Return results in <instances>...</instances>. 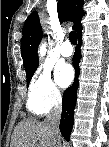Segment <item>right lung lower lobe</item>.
I'll return each instance as SVG.
<instances>
[{
    "mask_svg": "<svg viewBox=\"0 0 109 147\" xmlns=\"http://www.w3.org/2000/svg\"><path fill=\"white\" fill-rule=\"evenodd\" d=\"M81 31L78 32V46L76 47L74 56H73V65L76 70V78L74 80V83L71 87H69L63 94V102H62V116L60 121V131L62 136L69 141L70 134L73 127V114H74V108L76 104V94L77 89L79 85V81L77 76L79 75L80 69H79V60L81 58L79 47L81 46L82 40H81Z\"/></svg>",
    "mask_w": 109,
    "mask_h": 147,
    "instance_id": "1",
    "label": "right lung lower lobe"
}]
</instances>
